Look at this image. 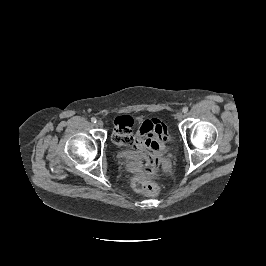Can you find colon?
Masks as SVG:
<instances>
[{"label":"colon","instance_id":"colon-1","mask_svg":"<svg viewBox=\"0 0 266 266\" xmlns=\"http://www.w3.org/2000/svg\"><path fill=\"white\" fill-rule=\"evenodd\" d=\"M133 187L138 192L144 193L148 196H156L160 192V187L152 182L148 175L140 174L137 175L133 180Z\"/></svg>","mask_w":266,"mask_h":266}]
</instances>
